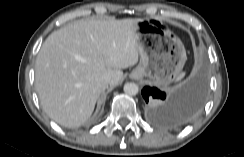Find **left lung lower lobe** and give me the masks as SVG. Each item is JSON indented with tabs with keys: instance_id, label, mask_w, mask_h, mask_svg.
I'll return each instance as SVG.
<instances>
[{
	"instance_id": "1",
	"label": "left lung lower lobe",
	"mask_w": 244,
	"mask_h": 157,
	"mask_svg": "<svg viewBox=\"0 0 244 157\" xmlns=\"http://www.w3.org/2000/svg\"><path fill=\"white\" fill-rule=\"evenodd\" d=\"M142 96L155 121L167 126H182L198 113L204 103L205 72L201 70L168 97L158 88L148 86L142 90Z\"/></svg>"
}]
</instances>
